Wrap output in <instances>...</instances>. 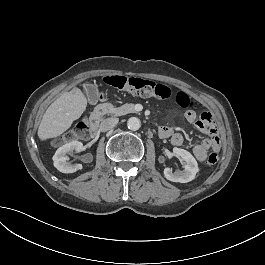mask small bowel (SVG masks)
I'll list each match as a JSON object with an SVG mask.
<instances>
[{"label": "small bowel", "instance_id": "small-bowel-1", "mask_svg": "<svg viewBox=\"0 0 265 265\" xmlns=\"http://www.w3.org/2000/svg\"><path fill=\"white\" fill-rule=\"evenodd\" d=\"M206 113V112H205ZM211 115V114H210ZM186 119L190 123L196 122V114L194 111H188L185 115ZM200 120V119H199ZM199 120L196 122V127L202 132L209 136V138L193 143L192 150L193 154L197 160L204 162L209 155V152L218 151L220 148V142L218 137V131L215 125V122L212 118L210 123V130H207L204 127L199 125ZM159 135L161 138L170 139V142L173 146L179 147L185 143V138L182 134L174 131L172 126L163 125L159 129Z\"/></svg>", "mask_w": 265, "mask_h": 265}]
</instances>
